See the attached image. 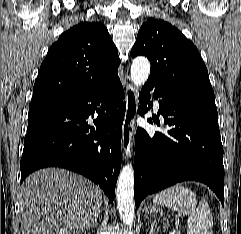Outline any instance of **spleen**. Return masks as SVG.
Masks as SVG:
<instances>
[{
  "instance_id": "3e777b00",
  "label": "spleen",
  "mask_w": 241,
  "mask_h": 234,
  "mask_svg": "<svg viewBox=\"0 0 241 234\" xmlns=\"http://www.w3.org/2000/svg\"><path fill=\"white\" fill-rule=\"evenodd\" d=\"M154 202L188 215L187 234H213V217L209 205L201 200L197 205L196 195L181 184L162 190Z\"/></svg>"
}]
</instances>
